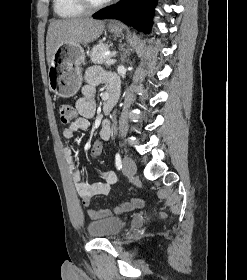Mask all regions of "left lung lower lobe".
<instances>
[{"label":"left lung lower lobe","mask_w":247,"mask_h":280,"mask_svg":"<svg viewBox=\"0 0 247 280\" xmlns=\"http://www.w3.org/2000/svg\"><path fill=\"white\" fill-rule=\"evenodd\" d=\"M137 0H121L116 5L94 15L96 19H119L128 25H133L137 30L148 33L152 22V12L156 4L155 0H142L141 6L146 7L136 13Z\"/></svg>","instance_id":"obj_1"}]
</instances>
